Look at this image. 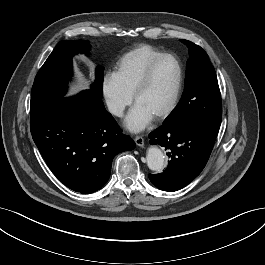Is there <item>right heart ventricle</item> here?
<instances>
[{"label": "right heart ventricle", "mask_w": 265, "mask_h": 265, "mask_svg": "<svg viewBox=\"0 0 265 265\" xmlns=\"http://www.w3.org/2000/svg\"><path fill=\"white\" fill-rule=\"evenodd\" d=\"M162 52L150 45H139L126 52L116 63L112 75L120 87L131 96L148 63Z\"/></svg>", "instance_id": "obj_1"}]
</instances>
